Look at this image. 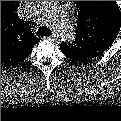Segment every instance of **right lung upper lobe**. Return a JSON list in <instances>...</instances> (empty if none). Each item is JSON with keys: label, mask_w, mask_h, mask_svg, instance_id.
Segmentation results:
<instances>
[{"label": "right lung upper lobe", "mask_w": 121, "mask_h": 121, "mask_svg": "<svg viewBox=\"0 0 121 121\" xmlns=\"http://www.w3.org/2000/svg\"><path fill=\"white\" fill-rule=\"evenodd\" d=\"M15 5L1 1V59L17 57L22 60L36 43L26 23L15 16Z\"/></svg>", "instance_id": "cb5924a9"}]
</instances>
